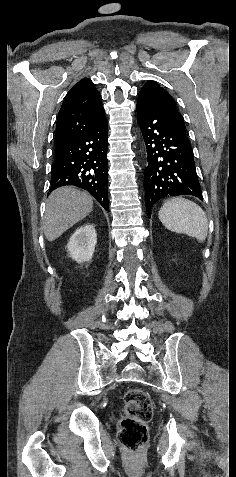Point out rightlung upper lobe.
Returning a JSON list of instances; mask_svg holds the SVG:
<instances>
[{
  "label": "right lung upper lobe",
  "instance_id": "right-lung-upper-lobe-1",
  "mask_svg": "<svg viewBox=\"0 0 236 477\" xmlns=\"http://www.w3.org/2000/svg\"><path fill=\"white\" fill-rule=\"evenodd\" d=\"M105 119L99 92L90 79H82L70 89L59 111L55 150L65 148Z\"/></svg>",
  "mask_w": 236,
  "mask_h": 477
}]
</instances>
